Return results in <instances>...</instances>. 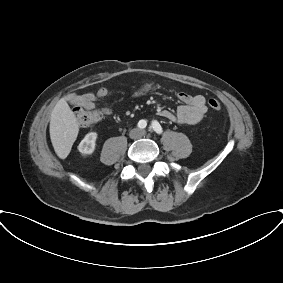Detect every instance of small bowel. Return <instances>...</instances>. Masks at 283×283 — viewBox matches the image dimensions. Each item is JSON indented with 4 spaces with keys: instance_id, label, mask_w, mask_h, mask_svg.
I'll list each match as a JSON object with an SVG mask.
<instances>
[{
    "instance_id": "1",
    "label": "small bowel",
    "mask_w": 283,
    "mask_h": 283,
    "mask_svg": "<svg viewBox=\"0 0 283 283\" xmlns=\"http://www.w3.org/2000/svg\"><path fill=\"white\" fill-rule=\"evenodd\" d=\"M151 89V85L146 84L136 90L133 94L134 97H141ZM109 91L106 87H100L96 92H87L82 95L73 97V101L82 106L93 108L98 99H104L108 96ZM178 99L182 102L178 106L176 112L162 109L159 115L172 122H178L184 125H195L199 123L207 111L206 100L203 95H192L186 92L177 94ZM101 115L107 116L111 114V110L107 107L101 108Z\"/></svg>"
}]
</instances>
